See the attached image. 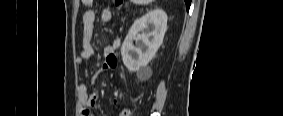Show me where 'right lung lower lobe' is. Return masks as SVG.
I'll return each mask as SVG.
<instances>
[{
    "label": "right lung lower lobe",
    "mask_w": 283,
    "mask_h": 116,
    "mask_svg": "<svg viewBox=\"0 0 283 116\" xmlns=\"http://www.w3.org/2000/svg\"><path fill=\"white\" fill-rule=\"evenodd\" d=\"M185 3H186L187 10H189L190 4H191V0H185Z\"/></svg>",
    "instance_id": "98d812e1"
}]
</instances>
